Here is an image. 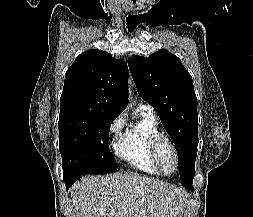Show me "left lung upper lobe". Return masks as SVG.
Segmentation results:
<instances>
[{
	"label": "left lung upper lobe",
	"instance_id": "5c2ea615",
	"mask_svg": "<svg viewBox=\"0 0 253 217\" xmlns=\"http://www.w3.org/2000/svg\"><path fill=\"white\" fill-rule=\"evenodd\" d=\"M139 95L157 111L175 143L181 183L193 190L198 146L197 97L192 77L181 60L167 50L128 62Z\"/></svg>",
	"mask_w": 253,
	"mask_h": 217
}]
</instances>
